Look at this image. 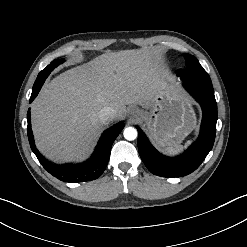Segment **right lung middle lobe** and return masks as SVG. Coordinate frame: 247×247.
Listing matches in <instances>:
<instances>
[{
  "label": "right lung middle lobe",
  "mask_w": 247,
  "mask_h": 247,
  "mask_svg": "<svg viewBox=\"0 0 247 247\" xmlns=\"http://www.w3.org/2000/svg\"><path fill=\"white\" fill-rule=\"evenodd\" d=\"M65 60L64 59H56L52 61L44 70H42L39 75L37 76V81L35 83H40L42 82V79H46L48 75L51 73V71L57 67L59 64L63 63Z\"/></svg>",
  "instance_id": "1"
}]
</instances>
